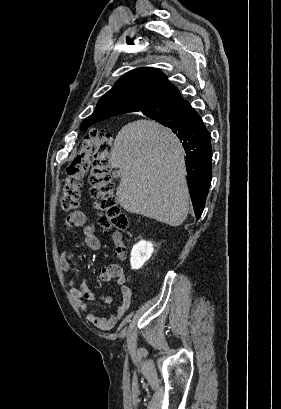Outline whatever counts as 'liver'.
Segmentation results:
<instances>
[{
    "label": "liver",
    "mask_w": 281,
    "mask_h": 409,
    "mask_svg": "<svg viewBox=\"0 0 281 409\" xmlns=\"http://www.w3.org/2000/svg\"><path fill=\"white\" fill-rule=\"evenodd\" d=\"M109 162L120 168L119 205L171 227H179L189 211L183 148L176 134L155 120L122 126Z\"/></svg>",
    "instance_id": "obj_1"
}]
</instances>
